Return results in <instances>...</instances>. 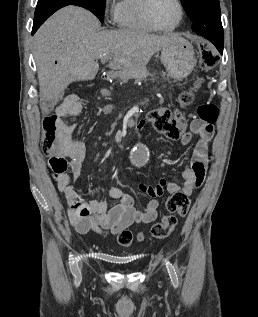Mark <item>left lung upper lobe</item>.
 Listing matches in <instances>:
<instances>
[{"mask_svg": "<svg viewBox=\"0 0 258 317\" xmlns=\"http://www.w3.org/2000/svg\"><path fill=\"white\" fill-rule=\"evenodd\" d=\"M181 2L193 21L192 29L203 26L222 28L219 0H181Z\"/></svg>", "mask_w": 258, "mask_h": 317, "instance_id": "5c2ea615", "label": "left lung upper lobe"}]
</instances>
